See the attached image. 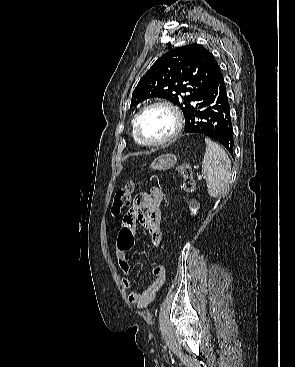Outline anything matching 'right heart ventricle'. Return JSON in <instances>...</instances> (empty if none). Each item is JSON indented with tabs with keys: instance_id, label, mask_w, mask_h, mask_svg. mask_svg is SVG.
Masks as SVG:
<instances>
[{
	"instance_id": "1",
	"label": "right heart ventricle",
	"mask_w": 295,
	"mask_h": 367,
	"mask_svg": "<svg viewBox=\"0 0 295 367\" xmlns=\"http://www.w3.org/2000/svg\"><path fill=\"white\" fill-rule=\"evenodd\" d=\"M133 122H134V119L132 120V135H133L134 139L138 142V140H137V138H136V136L134 134Z\"/></svg>"
}]
</instances>
